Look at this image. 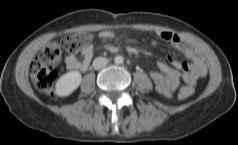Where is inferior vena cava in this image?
Here are the masks:
<instances>
[{"mask_svg": "<svg viewBox=\"0 0 238 145\" xmlns=\"http://www.w3.org/2000/svg\"><path fill=\"white\" fill-rule=\"evenodd\" d=\"M108 64V60L104 57H97L93 61V68L96 70H100L106 67Z\"/></svg>", "mask_w": 238, "mask_h": 145, "instance_id": "1", "label": "inferior vena cava"}]
</instances>
